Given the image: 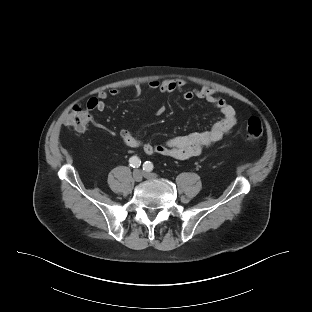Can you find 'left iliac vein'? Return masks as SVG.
<instances>
[{"mask_svg": "<svg viewBox=\"0 0 312 312\" xmlns=\"http://www.w3.org/2000/svg\"><path fill=\"white\" fill-rule=\"evenodd\" d=\"M143 176H144L145 178H147V179H155V178L158 177L157 174H155V173H150V172H144V173H143Z\"/></svg>", "mask_w": 312, "mask_h": 312, "instance_id": "1", "label": "left iliac vein"}]
</instances>
